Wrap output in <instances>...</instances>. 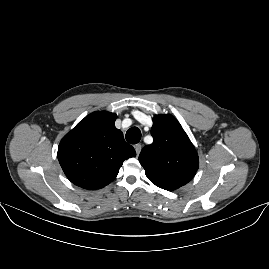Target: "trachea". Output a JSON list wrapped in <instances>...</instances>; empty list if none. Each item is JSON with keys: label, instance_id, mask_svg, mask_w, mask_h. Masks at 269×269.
<instances>
[{"label": "trachea", "instance_id": "obj_1", "mask_svg": "<svg viewBox=\"0 0 269 269\" xmlns=\"http://www.w3.org/2000/svg\"><path fill=\"white\" fill-rule=\"evenodd\" d=\"M141 139V131L137 127H132L126 132V140L131 144H137Z\"/></svg>", "mask_w": 269, "mask_h": 269}]
</instances>
